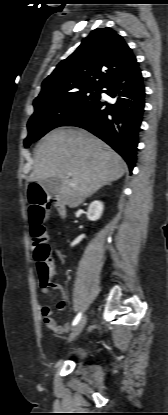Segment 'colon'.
I'll list each match as a JSON object with an SVG mask.
<instances>
[{
	"instance_id": "1",
	"label": "colon",
	"mask_w": 168,
	"mask_h": 415,
	"mask_svg": "<svg viewBox=\"0 0 168 415\" xmlns=\"http://www.w3.org/2000/svg\"><path fill=\"white\" fill-rule=\"evenodd\" d=\"M29 202L33 256L42 283L45 286L52 285L54 258L47 243L46 228L43 224L48 214L50 198L39 186H33L29 190Z\"/></svg>"
}]
</instances>
